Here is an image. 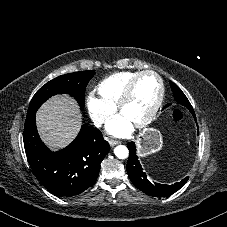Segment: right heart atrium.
I'll use <instances>...</instances> for the list:
<instances>
[{
  "instance_id": "d8ad5b80",
  "label": "right heart atrium",
  "mask_w": 227,
  "mask_h": 227,
  "mask_svg": "<svg viewBox=\"0 0 227 227\" xmlns=\"http://www.w3.org/2000/svg\"><path fill=\"white\" fill-rule=\"evenodd\" d=\"M86 107L91 120L96 126L103 125L114 114L113 106L92 95L87 98Z\"/></svg>"
}]
</instances>
